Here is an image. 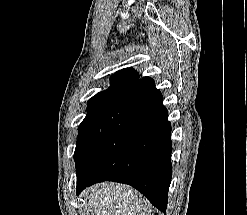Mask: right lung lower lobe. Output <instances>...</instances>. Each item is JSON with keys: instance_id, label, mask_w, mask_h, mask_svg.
Masks as SVG:
<instances>
[{"instance_id": "98d812e1", "label": "right lung lower lobe", "mask_w": 247, "mask_h": 215, "mask_svg": "<svg viewBox=\"0 0 247 215\" xmlns=\"http://www.w3.org/2000/svg\"><path fill=\"white\" fill-rule=\"evenodd\" d=\"M154 80L126 89L97 122L76 156L77 194L106 180L139 190L160 211L167 208L172 177L171 124Z\"/></svg>"}]
</instances>
